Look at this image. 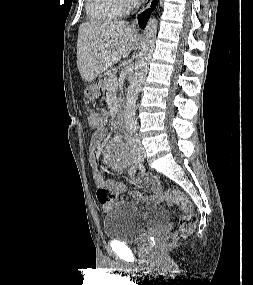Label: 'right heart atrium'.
Returning a JSON list of instances; mask_svg holds the SVG:
<instances>
[{"label":"right heart atrium","mask_w":253,"mask_h":285,"mask_svg":"<svg viewBox=\"0 0 253 285\" xmlns=\"http://www.w3.org/2000/svg\"><path fill=\"white\" fill-rule=\"evenodd\" d=\"M124 7H129L132 4V0H122Z\"/></svg>","instance_id":"obj_1"}]
</instances>
